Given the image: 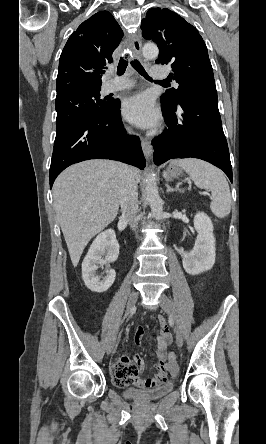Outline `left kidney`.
Listing matches in <instances>:
<instances>
[{
    "instance_id": "1",
    "label": "left kidney",
    "mask_w": 266,
    "mask_h": 444,
    "mask_svg": "<svg viewBox=\"0 0 266 444\" xmlns=\"http://www.w3.org/2000/svg\"><path fill=\"white\" fill-rule=\"evenodd\" d=\"M198 235L193 250L183 256V267L188 274L198 275L210 270L215 263V237L211 219L204 212L194 217Z\"/></svg>"
}]
</instances>
